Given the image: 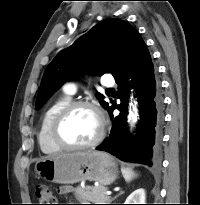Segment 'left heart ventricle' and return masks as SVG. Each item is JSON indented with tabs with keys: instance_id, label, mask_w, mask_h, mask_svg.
Masks as SVG:
<instances>
[{
	"instance_id": "1",
	"label": "left heart ventricle",
	"mask_w": 200,
	"mask_h": 205,
	"mask_svg": "<svg viewBox=\"0 0 200 205\" xmlns=\"http://www.w3.org/2000/svg\"><path fill=\"white\" fill-rule=\"evenodd\" d=\"M99 130L96 114L87 108L74 110L63 122L60 130L64 142L80 145L90 142Z\"/></svg>"
}]
</instances>
